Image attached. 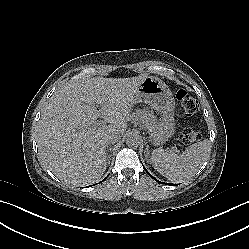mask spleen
<instances>
[{
  "label": "spleen",
  "instance_id": "obj_1",
  "mask_svg": "<svg viewBox=\"0 0 249 249\" xmlns=\"http://www.w3.org/2000/svg\"><path fill=\"white\" fill-rule=\"evenodd\" d=\"M210 154V142L203 140L188 146L181 154L156 149L151 160L156 170L171 181L182 180L189 172L197 171Z\"/></svg>",
  "mask_w": 249,
  "mask_h": 249
}]
</instances>
